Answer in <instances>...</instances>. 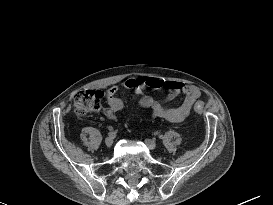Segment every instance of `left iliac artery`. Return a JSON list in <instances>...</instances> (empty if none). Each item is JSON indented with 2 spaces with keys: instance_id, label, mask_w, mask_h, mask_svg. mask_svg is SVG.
<instances>
[{
  "instance_id": "obj_1",
  "label": "left iliac artery",
  "mask_w": 273,
  "mask_h": 205,
  "mask_svg": "<svg viewBox=\"0 0 273 205\" xmlns=\"http://www.w3.org/2000/svg\"><path fill=\"white\" fill-rule=\"evenodd\" d=\"M159 138L162 139V138H163V135H159Z\"/></svg>"
}]
</instances>
